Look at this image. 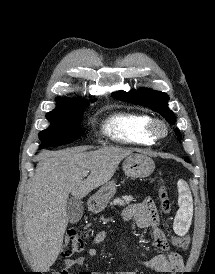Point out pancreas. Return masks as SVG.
<instances>
[{
    "instance_id": "1",
    "label": "pancreas",
    "mask_w": 215,
    "mask_h": 274,
    "mask_svg": "<svg viewBox=\"0 0 215 274\" xmlns=\"http://www.w3.org/2000/svg\"><path fill=\"white\" fill-rule=\"evenodd\" d=\"M131 201H134L132 196H123L122 199L116 198L114 199L110 205L113 207V205H125V204H129Z\"/></svg>"
}]
</instances>
